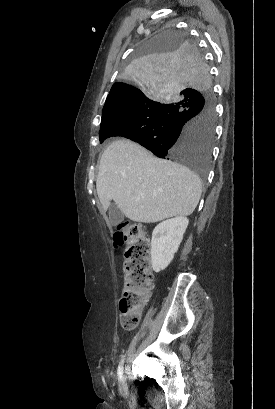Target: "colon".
Returning a JSON list of instances; mask_svg holds the SVG:
<instances>
[{
	"label": "colon",
	"mask_w": 275,
	"mask_h": 409,
	"mask_svg": "<svg viewBox=\"0 0 275 409\" xmlns=\"http://www.w3.org/2000/svg\"><path fill=\"white\" fill-rule=\"evenodd\" d=\"M113 243L117 247H124L126 251L119 322L123 330H134L153 285L150 273L152 245L147 232L139 223H124L118 226Z\"/></svg>",
	"instance_id": "colon-1"
}]
</instances>
